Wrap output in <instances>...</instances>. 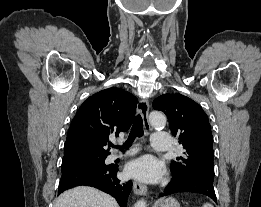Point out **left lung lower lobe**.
Returning a JSON list of instances; mask_svg holds the SVG:
<instances>
[{"label": "left lung lower lobe", "mask_w": 261, "mask_h": 207, "mask_svg": "<svg viewBox=\"0 0 261 207\" xmlns=\"http://www.w3.org/2000/svg\"><path fill=\"white\" fill-rule=\"evenodd\" d=\"M199 193L213 199L216 203V195L213 183L207 179L198 177H188L182 174H173L170 183L165 187L160 196H168L176 193Z\"/></svg>", "instance_id": "left-lung-lower-lobe-1"}]
</instances>
